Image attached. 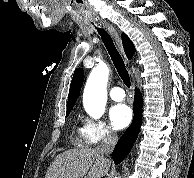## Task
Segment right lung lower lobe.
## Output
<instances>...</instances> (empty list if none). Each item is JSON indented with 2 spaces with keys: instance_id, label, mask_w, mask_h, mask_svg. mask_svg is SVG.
Instances as JSON below:
<instances>
[{
  "instance_id": "1",
  "label": "right lung lower lobe",
  "mask_w": 194,
  "mask_h": 178,
  "mask_svg": "<svg viewBox=\"0 0 194 178\" xmlns=\"http://www.w3.org/2000/svg\"><path fill=\"white\" fill-rule=\"evenodd\" d=\"M134 106L133 122L119 139L112 153V159L116 164H119L122 160H124L126 155H128L131 151V148L138 137L142 124V95L137 89L135 91Z\"/></svg>"
}]
</instances>
